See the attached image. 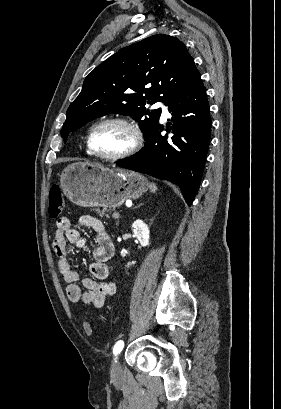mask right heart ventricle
<instances>
[{"label":"right heart ventricle","instance_id":"obj_1","mask_svg":"<svg viewBox=\"0 0 281 409\" xmlns=\"http://www.w3.org/2000/svg\"><path fill=\"white\" fill-rule=\"evenodd\" d=\"M86 151H87L88 154H90V150L88 148V141L86 142Z\"/></svg>","mask_w":281,"mask_h":409}]
</instances>
